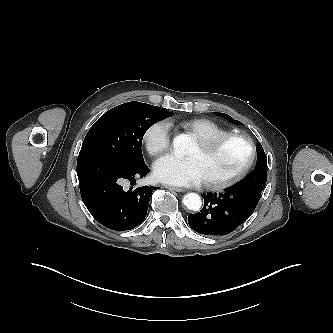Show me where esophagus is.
<instances>
[{
    "mask_svg": "<svg viewBox=\"0 0 333 333\" xmlns=\"http://www.w3.org/2000/svg\"><path fill=\"white\" fill-rule=\"evenodd\" d=\"M165 188L176 191V192H184L185 191V189H183V188L169 186V185H166Z\"/></svg>",
    "mask_w": 333,
    "mask_h": 333,
    "instance_id": "1",
    "label": "esophagus"
}]
</instances>
